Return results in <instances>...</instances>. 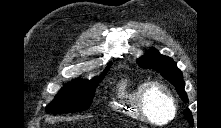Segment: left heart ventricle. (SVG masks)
I'll return each mask as SVG.
<instances>
[{"mask_svg": "<svg viewBox=\"0 0 221 128\" xmlns=\"http://www.w3.org/2000/svg\"><path fill=\"white\" fill-rule=\"evenodd\" d=\"M148 109L158 123L165 122L171 115V107L167 99L159 92H154L149 101Z\"/></svg>", "mask_w": 221, "mask_h": 128, "instance_id": "obj_1", "label": "left heart ventricle"}]
</instances>
